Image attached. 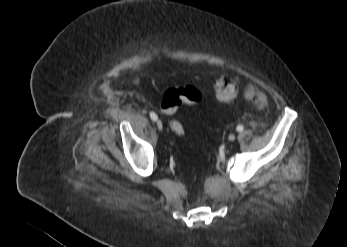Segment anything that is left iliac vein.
I'll return each instance as SVG.
<instances>
[{"label": "left iliac vein", "mask_w": 347, "mask_h": 247, "mask_svg": "<svg viewBox=\"0 0 347 247\" xmlns=\"http://www.w3.org/2000/svg\"><path fill=\"white\" fill-rule=\"evenodd\" d=\"M235 138H236V137H235L234 134H230L229 137H228L229 141H234Z\"/></svg>", "instance_id": "left-iliac-vein-1"}]
</instances>
